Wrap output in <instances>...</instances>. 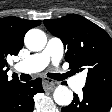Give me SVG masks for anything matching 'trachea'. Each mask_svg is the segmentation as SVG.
Listing matches in <instances>:
<instances>
[{
	"instance_id": "trachea-1",
	"label": "trachea",
	"mask_w": 112,
	"mask_h": 112,
	"mask_svg": "<svg viewBox=\"0 0 112 112\" xmlns=\"http://www.w3.org/2000/svg\"><path fill=\"white\" fill-rule=\"evenodd\" d=\"M68 75H69V74H68ZM47 76H48L49 78H52V79H55V80H58V81H62V80H64V79L67 77L66 74H56V73H48ZM20 79H21L22 81H29V80H31L32 78H31V76L28 75V74H21V75H20Z\"/></svg>"
}]
</instances>
